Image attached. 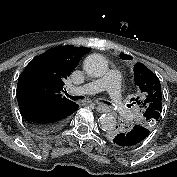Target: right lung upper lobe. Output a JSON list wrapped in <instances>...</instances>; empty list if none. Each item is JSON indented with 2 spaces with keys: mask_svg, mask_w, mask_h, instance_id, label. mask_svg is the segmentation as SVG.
<instances>
[{
  "mask_svg": "<svg viewBox=\"0 0 177 177\" xmlns=\"http://www.w3.org/2000/svg\"><path fill=\"white\" fill-rule=\"evenodd\" d=\"M89 48L62 46L52 48L34 58L18 79L19 102L46 103L49 105H72L74 102L62 97L60 92L73 69Z\"/></svg>",
  "mask_w": 177,
  "mask_h": 177,
  "instance_id": "1",
  "label": "right lung upper lobe"
}]
</instances>
